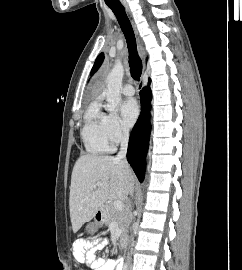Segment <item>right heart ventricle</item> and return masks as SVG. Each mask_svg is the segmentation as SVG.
Listing matches in <instances>:
<instances>
[{"label":"right heart ventricle","instance_id":"1","mask_svg":"<svg viewBox=\"0 0 242 270\" xmlns=\"http://www.w3.org/2000/svg\"><path fill=\"white\" fill-rule=\"evenodd\" d=\"M107 116L100 110L98 101L89 105L81 129V139L90 154H101L113 150V143L107 131Z\"/></svg>","mask_w":242,"mask_h":270}]
</instances>
